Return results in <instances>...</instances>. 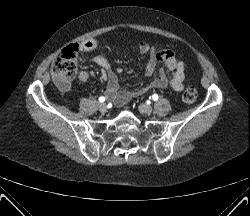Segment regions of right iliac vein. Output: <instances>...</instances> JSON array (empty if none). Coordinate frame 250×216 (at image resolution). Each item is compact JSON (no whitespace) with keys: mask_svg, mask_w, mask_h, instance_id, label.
<instances>
[{"mask_svg":"<svg viewBox=\"0 0 250 216\" xmlns=\"http://www.w3.org/2000/svg\"><path fill=\"white\" fill-rule=\"evenodd\" d=\"M98 108L101 112H105L107 110V106L105 103L99 104Z\"/></svg>","mask_w":250,"mask_h":216,"instance_id":"obj_1","label":"right iliac vein"}]
</instances>
